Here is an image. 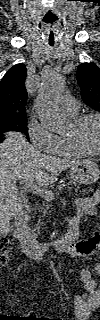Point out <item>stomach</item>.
I'll use <instances>...</instances> for the list:
<instances>
[{
    "instance_id": "stomach-1",
    "label": "stomach",
    "mask_w": 100,
    "mask_h": 320,
    "mask_svg": "<svg viewBox=\"0 0 100 320\" xmlns=\"http://www.w3.org/2000/svg\"><path fill=\"white\" fill-rule=\"evenodd\" d=\"M70 177L79 184H92L100 178V169L95 161L84 159L71 166Z\"/></svg>"
}]
</instances>
